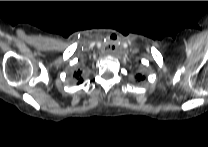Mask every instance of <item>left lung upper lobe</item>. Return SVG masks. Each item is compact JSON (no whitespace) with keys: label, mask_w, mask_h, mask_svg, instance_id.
Masks as SVG:
<instances>
[{"label":"left lung upper lobe","mask_w":208,"mask_h":147,"mask_svg":"<svg viewBox=\"0 0 208 147\" xmlns=\"http://www.w3.org/2000/svg\"><path fill=\"white\" fill-rule=\"evenodd\" d=\"M136 78H137V80L138 81H141V80H144V76H142L141 74H138L137 76H136Z\"/></svg>","instance_id":"1"}]
</instances>
